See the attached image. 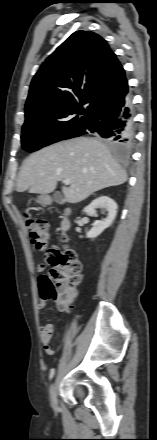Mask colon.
<instances>
[{"label": "colon", "mask_w": 157, "mask_h": 440, "mask_svg": "<svg viewBox=\"0 0 157 440\" xmlns=\"http://www.w3.org/2000/svg\"><path fill=\"white\" fill-rule=\"evenodd\" d=\"M27 226L33 248L42 252L51 266L48 275L39 280L41 296L55 303L60 311H69L76 296L75 286L80 283L82 266L74 250L48 248L50 234L47 222L40 218H28Z\"/></svg>", "instance_id": "5ec220e1"}]
</instances>
